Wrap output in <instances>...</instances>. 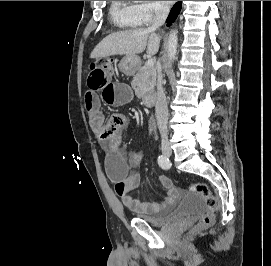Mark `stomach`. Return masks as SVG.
Listing matches in <instances>:
<instances>
[{
	"label": "stomach",
	"instance_id": "0dacf381",
	"mask_svg": "<svg viewBox=\"0 0 271 266\" xmlns=\"http://www.w3.org/2000/svg\"><path fill=\"white\" fill-rule=\"evenodd\" d=\"M140 63V59L136 55L123 57L119 64V68L122 72H132L134 71Z\"/></svg>",
	"mask_w": 271,
	"mask_h": 266
}]
</instances>
